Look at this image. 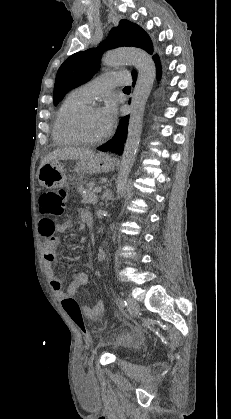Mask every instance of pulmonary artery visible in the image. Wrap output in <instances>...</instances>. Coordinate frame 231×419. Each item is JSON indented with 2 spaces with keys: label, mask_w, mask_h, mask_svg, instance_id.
I'll use <instances>...</instances> for the list:
<instances>
[{
  "label": "pulmonary artery",
  "mask_w": 231,
  "mask_h": 419,
  "mask_svg": "<svg viewBox=\"0 0 231 419\" xmlns=\"http://www.w3.org/2000/svg\"><path fill=\"white\" fill-rule=\"evenodd\" d=\"M129 83V76L121 72H108L81 85L78 90L89 100L99 94L109 92L116 86Z\"/></svg>",
  "instance_id": "e3ab8cb5"
}]
</instances>
